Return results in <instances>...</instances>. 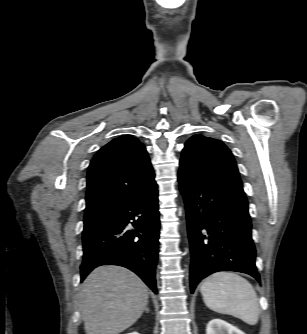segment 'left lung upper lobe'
<instances>
[{
	"mask_svg": "<svg viewBox=\"0 0 307 334\" xmlns=\"http://www.w3.org/2000/svg\"><path fill=\"white\" fill-rule=\"evenodd\" d=\"M179 171L242 187L231 151L220 140L201 134L192 136L185 143Z\"/></svg>",
	"mask_w": 307,
	"mask_h": 334,
	"instance_id": "5c2ea615",
	"label": "left lung upper lobe"
}]
</instances>
